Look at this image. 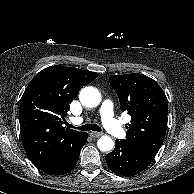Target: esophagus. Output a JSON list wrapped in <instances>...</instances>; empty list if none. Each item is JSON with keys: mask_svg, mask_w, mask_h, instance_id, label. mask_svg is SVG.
<instances>
[{"mask_svg": "<svg viewBox=\"0 0 194 194\" xmlns=\"http://www.w3.org/2000/svg\"><path fill=\"white\" fill-rule=\"evenodd\" d=\"M101 135H102L101 132H91V133H90V136L93 137V138L100 137Z\"/></svg>", "mask_w": 194, "mask_h": 194, "instance_id": "obj_1", "label": "esophagus"}]
</instances>
